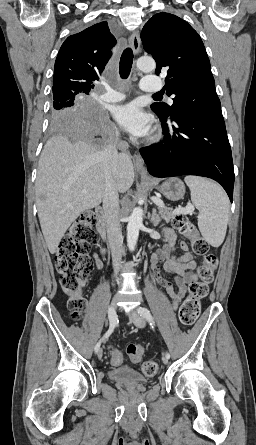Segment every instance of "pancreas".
<instances>
[{"label":"pancreas","mask_w":256,"mask_h":445,"mask_svg":"<svg viewBox=\"0 0 256 445\" xmlns=\"http://www.w3.org/2000/svg\"><path fill=\"white\" fill-rule=\"evenodd\" d=\"M159 210H160L161 217L166 222H169V221L173 220L176 217V215H177L176 213H174V211H172L171 208H168V207H165V206L163 208L159 207Z\"/></svg>","instance_id":"obj_1"}]
</instances>
